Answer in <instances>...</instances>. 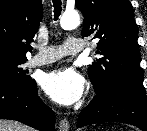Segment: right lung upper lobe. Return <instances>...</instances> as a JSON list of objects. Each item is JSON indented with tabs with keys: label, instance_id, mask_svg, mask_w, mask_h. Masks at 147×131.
<instances>
[{
	"label": "right lung upper lobe",
	"instance_id": "cb5924a9",
	"mask_svg": "<svg viewBox=\"0 0 147 131\" xmlns=\"http://www.w3.org/2000/svg\"><path fill=\"white\" fill-rule=\"evenodd\" d=\"M42 15L41 0H0V56L27 59Z\"/></svg>",
	"mask_w": 147,
	"mask_h": 131
}]
</instances>
